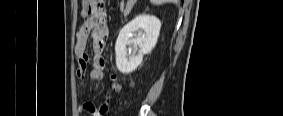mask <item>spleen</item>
<instances>
[{"instance_id":"obj_1","label":"spleen","mask_w":283,"mask_h":116,"mask_svg":"<svg viewBox=\"0 0 283 116\" xmlns=\"http://www.w3.org/2000/svg\"><path fill=\"white\" fill-rule=\"evenodd\" d=\"M155 4H162L163 1H153Z\"/></svg>"}]
</instances>
